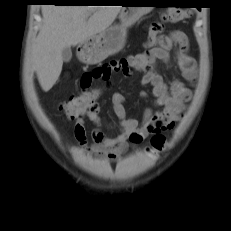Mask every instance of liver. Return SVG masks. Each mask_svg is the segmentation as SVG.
Segmentation results:
<instances>
[{
    "instance_id": "obj_1",
    "label": "liver",
    "mask_w": 231,
    "mask_h": 231,
    "mask_svg": "<svg viewBox=\"0 0 231 231\" xmlns=\"http://www.w3.org/2000/svg\"><path fill=\"white\" fill-rule=\"evenodd\" d=\"M121 10L122 6L42 7L43 26L34 44L32 61L45 92L53 87L61 74L63 49L105 31Z\"/></svg>"
}]
</instances>
